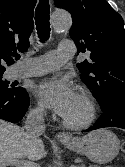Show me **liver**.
<instances>
[{
  "mask_svg": "<svg viewBox=\"0 0 125 167\" xmlns=\"http://www.w3.org/2000/svg\"><path fill=\"white\" fill-rule=\"evenodd\" d=\"M44 156L46 151L38 137L32 138L18 126L0 119V160H38Z\"/></svg>",
  "mask_w": 125,
  "mask_h": 167,
  "instance_id": "liver-1",
  "label": "liver"
}]
</instances>
